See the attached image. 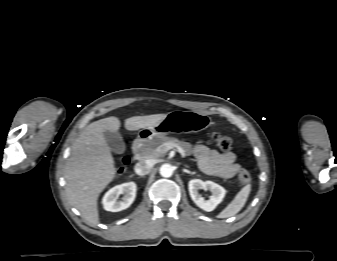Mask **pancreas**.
Here are the masks:
<instances>
[{"label": "pancreas", "mask_w": 337, "mask_h": 261, "mask_svg": "<svg viewBox=\"0 0 337 261\" xmlns=\"http://www.w3.org/2000/svg\"><path fill=\"white\" fill-rule=\"evenodd\" d=\"M168 142L182 147L186 155L189 156L192 154V145L190 143L165 136L145 141L140 148V154L144 158H158L164 156L166 151L162 145Z\"/></svg>", "instance_id": "pancreas-1"}]
</instances>
